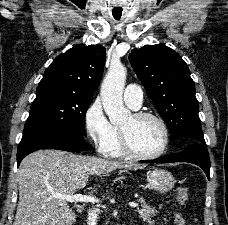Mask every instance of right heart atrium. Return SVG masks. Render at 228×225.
<instances>
[{"mask_svg":"<svg viewBox=\"0 0 228 225\" xmlns=\"http://www.w3.org/2000/svg\"><path fill=\"white\" fill-rule=\"evenodd\" d=\"M83 125L92 144L102 150L113 137L114 126L107 118L100 100L92 102L83 114Z\"/></svg>","mask_w":228,"mask_h":225,"instance_id":"right-heart-atrium-1","label":"right heart atrium"}]
</instances>
